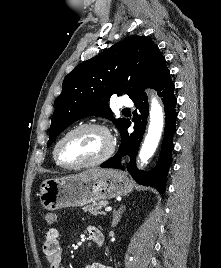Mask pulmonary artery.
Here are the masks:
<instances>
[{
  "label": "pulmonary artery",
  "mask_w": 221,
  "mask_h": 268,
  "mask_svg": "<svg viewBox=\"0 0 221 268\" xmlns=\"http://www.w3.org/2000/svg\"><path fill=\"white\" fill-rule=\"evenodd\" d=\"M119 105L122 107H132L133 102L129 98L123 97V98H121Z\"/></svg>",
  "instance_id": "obj_1"
}]
</instances>
